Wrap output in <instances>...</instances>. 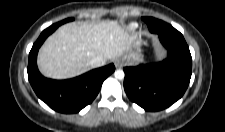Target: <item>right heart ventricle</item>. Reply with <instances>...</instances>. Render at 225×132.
I'll list each match as a JSON object with an SVG mask.
<instances>
[{
  "label": "right heart ventricle",
  "instance_id": "right-heart-ventricle-1",
  "mask_svg": "<svg viewBox=\"0 0 225 132\" xmlns=\"http://www.w3.org/2000/svg\"><path fill=\"white\" fill-rule=\"evenodd\" d=\"M136 27H137V25H136L135 23H131V24H129V26H128V28H129L130 30H134Z\"/></svg>",
  "mask_w": 225,
  "mask_h": 132
}]
</instances>
